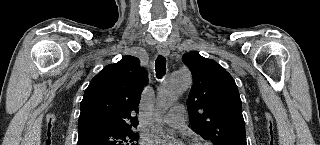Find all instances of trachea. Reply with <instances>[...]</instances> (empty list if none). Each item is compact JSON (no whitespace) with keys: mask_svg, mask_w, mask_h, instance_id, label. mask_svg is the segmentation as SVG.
I'll list each match as a JSON object with an SVG mask.
<instances>
[{"mask_svg":"<svg viewBox=\"0 0 320 145\" xmlns=\"http://www.w3.org/2000/svg\"><path fill=\"white\" fill-rule=\"evenodd\" d=\"M155 70L156 76L158 79H161L166 73V58L162 55H159L155 61Z\"/></svg>","mask_w":320,"mask_h":145,"instance_id":"3493384b","label":"trachea"}]
</instances>
